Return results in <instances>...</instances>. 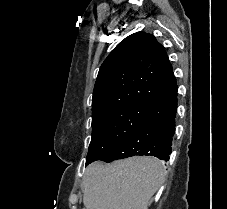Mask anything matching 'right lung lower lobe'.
<instances>
[{"label":"right lung lower lobe","mask_w":227,"mask_h":209,"mask_svg":"<svg viewBox=\"0 0 227 209\" xmlns=\"http://www.w3.org/2000/svg\"><path fill=\"white\" fill-rule=\"evenodd\" d=\"M169 81L176 84L172 65ZM178 86L168 95L153 101L142 124L107 154L102 161L111 162L132 156H155L168 161L175 132Z\"/></svg>","instance_id":"right-lung-lower-lobe-1"}]
</instances>
